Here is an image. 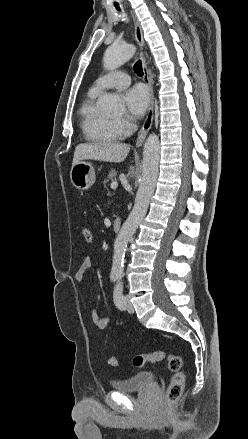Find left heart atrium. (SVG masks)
Masks as SVG:
<instances>
[{"label":"left heart atrium","instance_id":"1","mask_svg":"<svg viewBox=\"0 0 248 439\" xmlns=\"http://www.w3.org/2000/svg\"><path fill=\"white\" fill-rule=\"evenodd\" d=\"M123 99L127 114L134 119L140 118L145 113L149 104V94L146 88L141 85L128 89Z\"/></svg>","mask_w":248,"mask_h":439}]
</instances>
